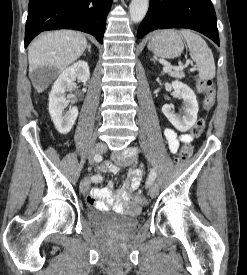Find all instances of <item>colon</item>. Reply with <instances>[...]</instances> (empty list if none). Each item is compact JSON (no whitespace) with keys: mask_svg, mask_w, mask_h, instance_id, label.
Wrapping results in <instances>:
<instances>
[{"mask_svg":"<svg viewBox=\"0 0 247 275\" xmlns=\"http://www.w3.org/2000/svg\"><path fill=\"white\" fill-rule=\"evenodd\" d=\"M197 89L199 92L205 95L204 97V108L206 110H210L215 103V88L211 81L205 79H199L197 81ZM205 128V120L199 119L191 129V134L193 136H199ZM192 155V147L189 143H186L178 155L175 158L176 162H184L187 161ZM105 165H110V163L106 162ZM135 201L139 206H143L146 203V199L144 194L138 192L135 195Z\"/></svg>","mask_w":247,"mask_h":275,"instance_id":"colon-1","label":"colon"}]
</instances>
